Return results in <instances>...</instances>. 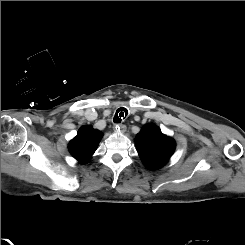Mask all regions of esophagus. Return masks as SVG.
<instances>
[{"label": "esophagus", "mask_w": 245, "mask_h": 245, "mask_svg": "<svg viewBox=\"0 0 245 245\" xmlns=\"http://www.w3.org/2000/svg\"><path fill=\"white\" fill-rule=\"evenodd\" d=\"M115 128H116V130H118L121 133H124L126 131V126L123 124H116Z\"/></svg>", "instance_id": "34e87169"}]
</instances>
